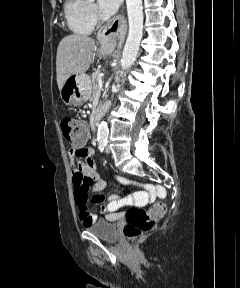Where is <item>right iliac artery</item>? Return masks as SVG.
Instances as JSON below:
<instances>
[{
  "label": "right iliac artery",
  "mask_w": 240,
  "mask_h": 288,
  "mask_svg": "<svg viewBox=\"0 0 240 288\" xmlns=\"http://www.w3.org/2000/svg\"><path fill=\"white\" fill-rule=\"evenodd\" d=\"M106 144H107V141H106V140L99 142L98 148H99V150H100L101 152L105 149Z\"/></svg>",
  "instance_id": "82829eb1"
}]
</instances>
